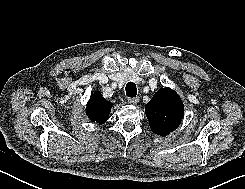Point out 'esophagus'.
Here are the masks:
<instances>
[{"mask_svg":"<svg viewBox=\"0 0 245 189\" xmlns=\"http://www.w3.org/2000/svg\"><path fill=\"white\" fill-rule=\"evenodd\" d=\"M128 102H129L131 105H136V104H138V102H139V97L129 98V99H128Z\"/></svg>","mask_w":245,"mask_h":189,"instance_id":"34e87169","label":"esophagus"}]
</instances>
